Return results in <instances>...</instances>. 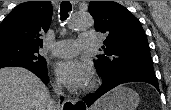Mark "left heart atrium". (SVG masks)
<instances>
[{
  "mask_svg": "<svg viewBox=\"0 0 171 110\" xmlns=\"http://www.w3.org/2000/svg\"><path fill=\"white\" fill-rule=\"evenodd\" d=\"M58 79L68 88L79 90L83 88L91 77L90 66L78 59H67L55 65Z\"/></svg>",
  "mask_w": 171,
  "mask_h": 110,
  "instance_id": "left-heart-atrium-1",
  "label": "left heart atrium"
}]
</instances>
